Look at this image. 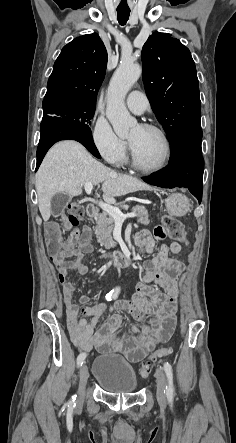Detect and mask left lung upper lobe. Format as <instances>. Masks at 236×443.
I'll list each match as a JSON object with an SVG mask.
<instances>
[{"label": "left lung upper lobe", "instance_id": "left-lung-upper-lobe-1", "mask_svg": "<svg viewBox=\"0 0 236 443\" xmlns=\"http://www.w3.org/2000/svg\"><path fill=\"white\" fill-rule=\"evenodd\" d=\"M143 82L153 112L170 142L201 126V101L191 53L168 33L154 32L142 50Z\"/></svg>", "mask_w": 236, "mask_h": 443}]
</instances>
